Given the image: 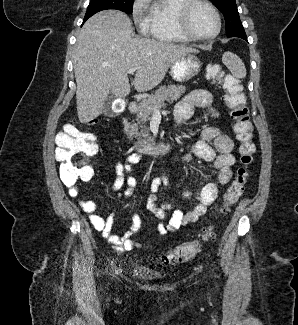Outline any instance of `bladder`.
<instances>
[{
  "label": "bladder",
  "instance_id": "31cf9c89",
  "mask_svg": "<svg viewBox=\"0 0 298 325\" xmlns=\"http://www.w3.org/2000/svg\"><path fill=\"white\" fill-rule=\"evenodd\" d=\"M131 273L134 277L144 281L159 280L164 277L162 272L141 263H134L131 267Z\"/></svg>",
  "mask_w": 298,
  "mask_h": 325
}]
</instances>
